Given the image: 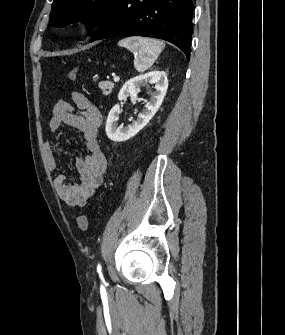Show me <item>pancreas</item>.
<instances>
[{"label": "pancreas", "mask_w": 285, "mask_h": 335, "mask_svg": "<svg viewBox=\"0 0 285 335\" xmlns=\"http://www.w3.org/2000/svg\"><path fill=\"white\" fill-rule=\"evenodd\" d=\"M98 86L104 96H109L114 88L113 82H99Z\"/></svg>", "instance_id": "cf45deb5"}]
</instances>
